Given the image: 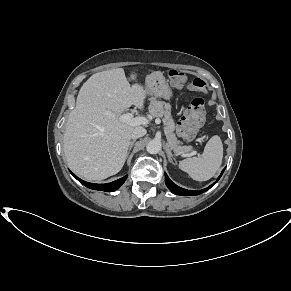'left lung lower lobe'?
I'll return each instance as SVG.
<instances>
[{"label": "left lung lower lobe", "instance_id": "1", "mask_svg": "<svg viewBox=\"0 0 291 291\" xmlns=\"http://www.w3.org/2000/svg\"><path fill=\"white\" fill-rule=\"evenodd\" d=\"M223 172H224V170L221 172V175L223 174ZM221 175L218 177L217 181L219 180V178L221 177ZM165 183H166L167 187L170 189V191L172 193H174V194H177V195H199V194L207 191L208 189H210L215 184L214 183V184L210 185L208 188L203 189V190H200V191L186 190V189H183V188L177 186L176 184H174L169 179V177L167 176V174H165Z\"/></svg>", "mask_w": 291, "mask_h": 291}]
</instances>
